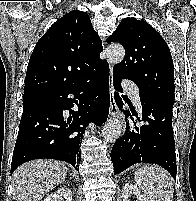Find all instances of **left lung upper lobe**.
Listing matches in <instances>:
<instances>
[{
	"mask_svg": "<svg viewBox=\"0 0 196 201\" xmlns=\"http://www.w3.org/2000/svg\"><path fill=\"white\" fill-rule=\"evenodd\" d=\"M107 42L125 48V58L113 75L130 79L147 96L174 104V67L170 50L161 35L146 21L124 18Z\"/></svg>",
	"mask_w": 196,
	"mask_h": 201,
	"instance_id": "left-lung-upper-lobe-1",
	"label": "left lung upper lobe"
}]
</instances>
